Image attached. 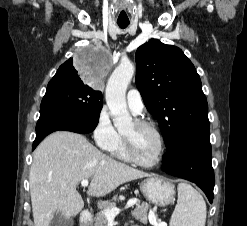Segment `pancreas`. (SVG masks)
Here are the masks:
<instances>
[{
  "label": "pancreas",
  "mask_w": 247,
  "mask_h": 226,
  "mask_svg": "<svg viewBox=\"0 0 247 226\" xmlns=\"http://www.w3.org/2000/svg\"><path fill=\"white\" fill-rule=\"evenodd\" d=\"M115 208V204H111L104 211H100L96 215L95 226H107L108 220L105 216V211ZM148 205L147 204H137L136 208L132 211V216L139 220L140 222L146 224L148 219ZM160 221V220H159Z\"/></svg>",
  "instance_id": "obj_1"
}]
</instances>
